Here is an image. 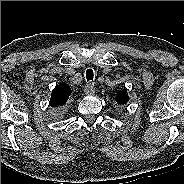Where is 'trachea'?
<instances>
[{
  "instance_id": "trachea-1",
  "label": "trachea",
  "mask_w": 184,
  "mask_h": 184,
  "mask_svg": "<svg viewBox=\"0 0 184 184\" xmlns=\"http://www.w3.org/2000/svg\"><path fill=\"white\" fill-rule=\"evenodd\" d=\"M93 78H94V72L92 69H88L86 71V79L87 81H93Z\"/></svg>"
}]
</instances>
